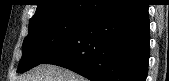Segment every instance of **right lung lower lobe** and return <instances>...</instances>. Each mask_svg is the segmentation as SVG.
Instances as JSON below:
<instances>
[{
	"mask_svg": "<svg viewBox=\"0 0 169 81\" xmlns=\"http://www.w3.org/2000/svg\"><path fill=\"white\" fill-rule=\"evenodd\" d=\"M148 5L117 0L88 18L42 64L70 69L91 81H145L149 61Z\"/></svg>",
	"mask_w": 169,
	"mask_h": 81,
	"instance_id": "1",
	"label": "right lung lower lobe"
}]
</instances>
